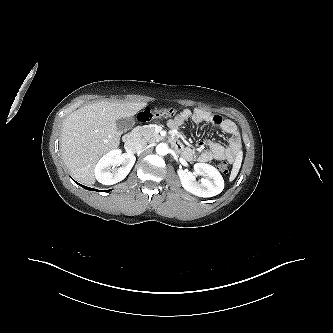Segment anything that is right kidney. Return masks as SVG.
Returning a JSON list of instances; mask_svg holds the SVG:
<instances>
[{
	"label": "right kidney",
	"mask_w": 333,
	"mask_h": 333,
	"mask_svg": "<svg viewBox=\"0 0 333 333\" xmlns=\"http://www.w3.org/2000/svg\"><path fill=\"white\" fill-rule=\"evenodd\" d=\"M135 156L130 153H121V150L115 149L103 155L95 167V178L103 185L116 184L129 174L134 163ZM118 169L116 166H120ZM111 167H113L111 169Z\"/></svg>",
	"instance_id": "1"
}]
</instances>
